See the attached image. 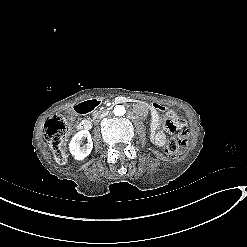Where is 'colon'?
I'll list each match as a JSON object with an SVG mask.
<instances>
[{
  "mask_svg": "<svg viewBox=\"0 0 247 247\" xmlns=\"http://www.w3.org/2000/svg\"><path fill=\"white\" fill-rule=\"evenodd\" d=\"M148 108L152 106L160 113L165 114L168 112L169 107L167 104H159L151 101L146 103ZM74 124L71 117L54 115L48 119L45 124V136L49 142L54 158L57 163H64L66 161V141L72 130ZM188 144V136L186 131H183L181 135L170 138L166 143V151L170 157H175L180 148L185 147Z\"/></svg>",
  "mask_w": 247,
  "mask_h": 247,
  "instance_id": "5ec220e1",
  "label": "colon"
}]
</instances>
